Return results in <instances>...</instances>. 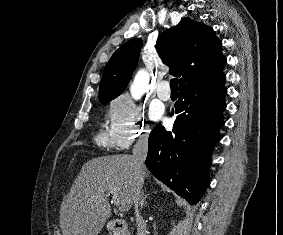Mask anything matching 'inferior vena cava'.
I'll return each mask as SVG.
<instances>
[{
	"label": "inferior vena cava",
	"instance_id": "inferior-vena-cava-1",
	"mask_svg": "<svg viewBox=\"0 0 283 235\" xmlns=\"http://www.w3.org/2000/svg\"><path fill=\"white\" fill-rule=\"evenodd\" d=\"M133 161L135 165L136 172V187L133 202L135 205L136 212V224H137V235H146L147 225L139 213L138 207L142 199V188L144 184V177L146 172L145 159L148 153V135L144 134L139 137L136 142L133 151Z\"/></svg>",
	"mask_w": 283,
	"mask_h": 235
}]
</instances>
